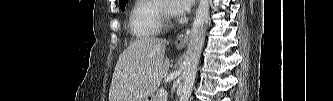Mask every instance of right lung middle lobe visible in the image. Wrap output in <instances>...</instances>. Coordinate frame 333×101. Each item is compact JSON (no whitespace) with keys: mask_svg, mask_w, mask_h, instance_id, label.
<instances>
[{"mask_svg":"<svg viewBox=\"0 0 333 101\" xmlns=\"http://www.w3.org/2000/svg\"><path fill=\"white\" fill-rule=\"evenodd\" d=\"M126 2H127V1H126ZM126 2H125V3H122V4H120V8H121V10H122V11H124V9H125Z\"/></svg>","mask_w":333,"mask_h":101,"instance_id":"obj_1","label":"right lung middle lobe"}]
</instances>
